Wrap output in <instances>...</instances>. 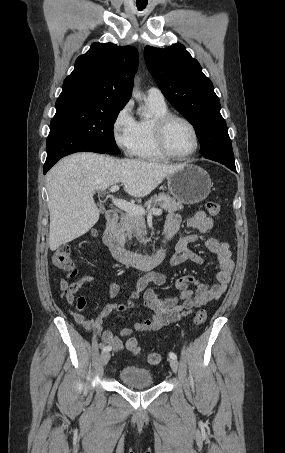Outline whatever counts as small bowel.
<instances>
[{
  "instance_id": "obj_1",
  "label": "small bowel",
  "mask_w": 285,
  "mask_h": 453,
  "mask_svg": "<svg viewBox=\"0 0 285 453\" xmlns=\"http://www.w3.org/2000/svg\"><path fill=\"white\" fill-rule=\"evenodd\" d=\"M180 225L181 218L178 214L171 213L167 216L164 227L165 240L168 241L178 237L175 254L170 260L171 265L176 267L187 260L198 264L202 263V256L190 250L188 245L197 241L199 239V234H206L213 229L214 222L212 218L208 217L203 211L195 212L194 215L187 220V227L195 229L198 232L195 234H181ZM205 246L217 256L218 261L216 281L210 287L194 276L187 275L176 280V287L179 290L178 296L160 299L153 290H145V288L149 282H153L157 285H164L166 283V277L160 273H150L139 282L137 292L133 293L126 303L108 304L100 310L96 318L84 316L81 312L85 307V300L83 298H75L76 293L81 287L93 280L94 277L92 275H84L72 284H69L67 280L62 279L60 282V290L65 294L66 300L70 306L76 304V310L73 311V316L77 323L85 331L94 332L103 345L110 347L111 350L115 352H119L123 350L124 342L112 331L104 330L102 326L103 319L112 312L123 314L128 308L138 307L147 308L152 312L148 318H144L137 322L134 329H120V335L122 337H128L134 332L157 331L165 325L178 321L181 317L192 312L196 308L219 299L224 294L234 268L229 244L211 237L205 241ZM143 290H145L143 300L139 301V292ZM108 291L111 296H115L119 291V287L115 282H111L108 286Z\"/></svg>"
}]
</instances>
